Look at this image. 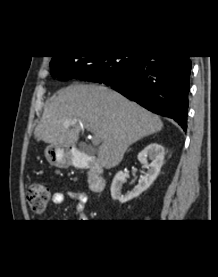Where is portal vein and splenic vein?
<instances>
[{
  "label": "portal vein and splenic vein",
  "instance_id": "portal-vein-and-splenic-vein-1",
  "mask_svg": "<svg viewBox=\"0 0 218 277\" xmlns=\"http://www.w3.org/2000/svg\"><path fill=\"white\" fill-rule=\"evenodd\" d=\"M74 123H75L74 121L71 122V124H74ZM66 124H69V122H66ZM81 125L84 126L86 129L90 130V129H89V125H88L87 123H82ZM92 143H93V145H95V146H97V145L100 144V140H99L98 136L93 135Z\"/></svg>",
  "mask_w": 218,
  "mask_h": 277
}]
</instances>
